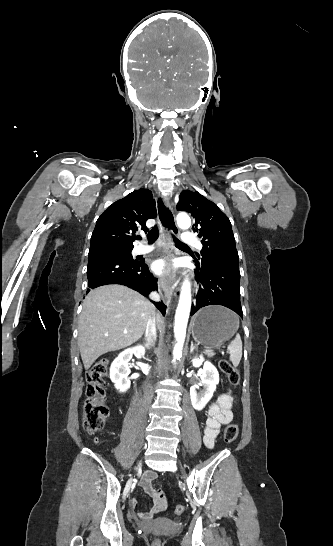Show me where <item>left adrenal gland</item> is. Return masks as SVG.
Here are the masks:
<instances>
[{
    "label": "left adrenal gland",
    "instance_id": "a2214340",
    "mask_svg": "<svg viewBox=\"0 0 333 546\" xmlns=\"http://www.w3.org/2000/svg\"><path fill=\"white\" fill-rule=\"evenodd\" d=\"M197 347L193 344V341H191V347H190V353H192Z\"/></svg>",
    "mask_w": 333,
    "mask_h": 546
}]
</instances>
